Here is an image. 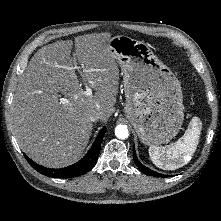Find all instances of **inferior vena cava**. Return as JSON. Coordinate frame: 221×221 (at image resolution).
I'll return each mask as SVG.
<instances>
[{"label":"inferior vena cava","instance_id":"602c4592","mask_svg":"<svg viewBox=\"0 0 221 221\" xmlns=\"http://www.w3.org/2000/svg\"><path fill=\"white\" fill-rule=\"evenodd\" d=\"M100 118H101V113L99 111L94 110L88 114V120L90 122L98 121Z\"/></svg>","mask_w":221,"mask_h":221}]
</instances>
